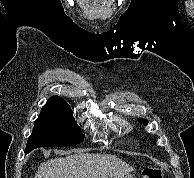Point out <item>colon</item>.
Masks as SVG:
<instances>
[{
    "mask_svg": "<svg viewBox=\"0 0 194 178\" xmlns=\"http://www.w3.org/2000/svg\"><path fill=\"white\" fill-rule=\"evenodd\" d=\"M163 169L155 166L146 167L143 170V178H163Z\"/></svg>",
    "mask_w": 194,
    "mask_h": 178,
    "instance_id": "colon-1",
    "label": "colon"
}]
</instances>
